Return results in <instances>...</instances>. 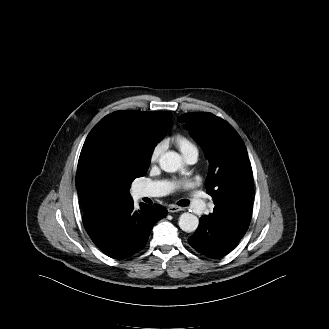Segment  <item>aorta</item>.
Wrapping results in <instances>:
<instances>
[{"label": "aorta", "mask_w": 329, "mask_h": 329, "mask_svg": "<svg viewBox=\"0 0 329 329\" xmlns=\"http://www.w3.org/2000/svg\"><path fill=\"white\" fill-rule=\"evenodd\" d=\"M159 165L165 172H176L182 168L183 162L181 156L174 152L168 151L160 156ZM181 230L187 233L194 232L199 225V220L197 216L185 212L179 217L178 221Z\"/></svg>", "instance_id": "762f6f07"}]
</instances>
